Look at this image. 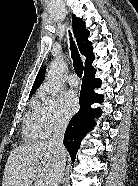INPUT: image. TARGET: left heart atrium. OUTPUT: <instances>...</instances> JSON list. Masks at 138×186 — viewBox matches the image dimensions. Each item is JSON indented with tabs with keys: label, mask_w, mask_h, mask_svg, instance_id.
<instances>
[{
	"label": "left heart atrium",
	"mask_w": 138,
	"mask_h": 186,
	"mask_svg": "<svg viewBox=\"0 0 138 186\" xmlns=\"http://www.w3.org/2000/svg\"><path fill=\"white\" fill-rule=\"evenodd\" d=\"M78 109V99L76 93L72 90L65 91L62 94V112L64 116H72Z\"/></svg>",
	"instance_id": "39dd6f15"
}]
</instances>
